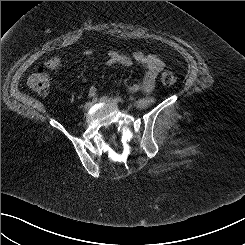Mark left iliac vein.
I'll list each match as a JSON object with an SVG mask.
<instances>
[{
    "label": "left iliac vein",
    "instance_id": "obj_1",
    "mask_svg": "<svg viewBox=\"0 0 245 245\" xmlns=\"http://www.w3.org/2000/svg\"><path fill=\"white\" fill-rule=\"evenodd\" d=\"M100 101L101 102H104V103H109V104H112L114 106H117V102L113 99V98H110L108 96H103L100 98Z\"/></svg>",
    "mask_w": 245,
    "mask_h": 245
}]
</instances>
